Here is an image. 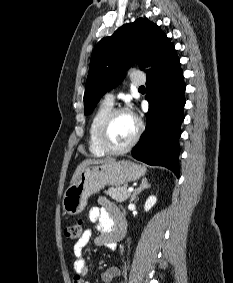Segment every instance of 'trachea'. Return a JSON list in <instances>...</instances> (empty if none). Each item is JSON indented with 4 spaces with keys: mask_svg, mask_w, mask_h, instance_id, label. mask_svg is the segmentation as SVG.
<instances>
[{
    "mask_svg": "<svg viewBox=\"0 0 233 283\" xmlns=\"http://www.w3.org/2000/svg\"><path fill=\"white\" fill-rule=\"evenodd\" d=\"M139 89H145V87H144V86H141V87H139Z\"/></svg>",
    "mask_w": 233,
    "mask_h": 283,
    "instance_id": "obj_1",
    "label": "trachea"
}]
</instances>
